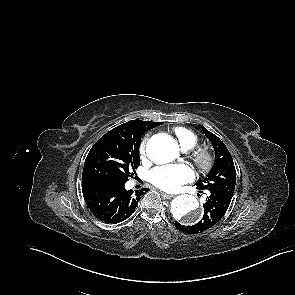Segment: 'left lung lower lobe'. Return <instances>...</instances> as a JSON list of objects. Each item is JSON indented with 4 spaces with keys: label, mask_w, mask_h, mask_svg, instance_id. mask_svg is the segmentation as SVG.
<instances>
[{
    "label": "left lung lower lobe",
    "mask_w": 295,
    "mask_h": 295,
    "mask_svg": "<svg viewBox=\"0 0 295 295\" xmlns=\"http://www.w3.org/2000/svg\"><path fill=\"white\" fill-rule=\"evenodd\" d=\"M232 196L222 193H209L204 204L203 218L192 226H185L175 222V226L179 231L188 234L201 233L217 224L227 211Z\"/></svg>",
    "instance_id": "1"
}]
</instances>
